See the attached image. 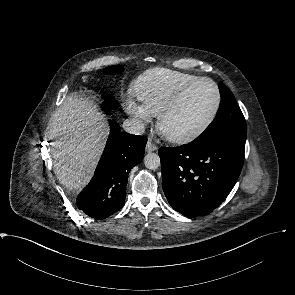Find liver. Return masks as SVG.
Here are the masks:
<instances>
[{"mask_svg":"<svg viewBox=\"0 0 295 295\" xmlns=\"http://www.w3.org/2000/svg\"><path fill=\"white\" fill-rule=\"evenodd\" d=\"M48 135L53 140L54 170L60 183L73 190L85 187L107 140L104 116L93 103L69 95L52 115Z\"/></svg>","mask_w":295,"mask_h":295,"instance_id":"1","label":"liver"}]
</instances>
